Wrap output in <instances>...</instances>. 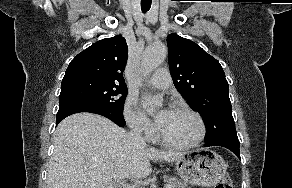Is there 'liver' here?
Listing matches in <instances>:
<instances>
[{
	"mask_svg": "<svg viewBox=\"0 0 292 188\" xmlns=\"http://www.w3.org/2000/svg\"><path fill=\"white\" fill-rule=\"evenodd\" d=\"M54 147L46 188H112L113 179L150 175L151 160L173 162L183 155L134 145L124 129L91 113H77L59 123Z\"/></svg>",
	"mask_w": 292,
	"mask_h": 188,
	"instance_id": "1",
	"label": "liver"
}]
</instances>
